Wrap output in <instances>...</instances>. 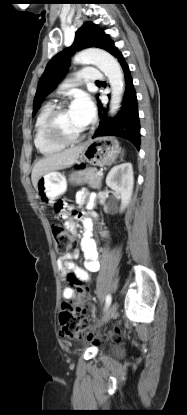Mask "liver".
Masks as SVG:
<instances>
[{
  "label": "liver",
  "instance_id": "obj_1",
  "mask_svg": "<svg viewBox=\"0 0 187 415\" xmlns=\"http://www.w3.org/2000/svg\"><path fill=\"white\" fill-rule=\"evenodd\" d=\"M83 151V146H76L64 151L46 155L40 159L33 167L31 180L35 187L39 178L49 172L62 170L71 167Z\"/></svg>",
  "mask_w": 187,
  "mask_h": 415
}]
</instances>
